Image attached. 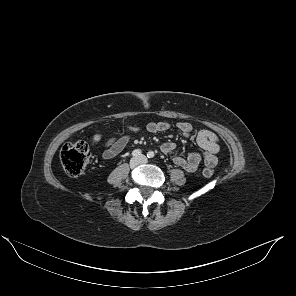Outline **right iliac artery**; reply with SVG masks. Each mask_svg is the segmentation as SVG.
I'll return each instance as SVG.
<instances>
[{
  "instance_id": "obj_1",
  "label": "right iliac artery",
  "mask_w": 296,
  "mask_h": 296,
  "mask_svg": "<svg viewBox=\"0 0 296 296\" xmlns=\"http://www.w3.org/2000/svg\"><path fill=\"white\" fill-rule=\"evenodd\" d=\"M141 150L140 149H135L133 152H132V155L134 156V157H138V156H140L141 155Z\"/></svg>"
}]
</instances>
